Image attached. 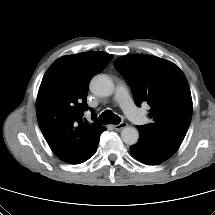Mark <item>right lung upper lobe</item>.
Here are the masks:
<instances>
[{"label": "right lung upper lobe", "instance_id": "right-lung-upper-lobe-1", "mask_svg": "<svg viewBox=\"0 0 215 215\" xmlns=\"http://www.w3.org/2000/svg\"><path fill=\"white\" fill-rule=\"evenodd\" d=\"M113 55L89 51L57 59L45 73L36 101L39 127L52 151L70 164L85 162L105 127L82 122L91 78Z\"/></svg>", "mask_w": 215, "mask_h": 215}]
</instances>
